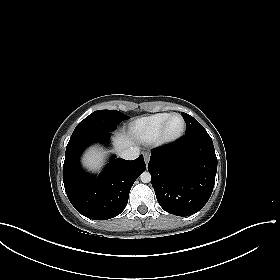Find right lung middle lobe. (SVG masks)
<instances>
[{
	"instance_id": "obj_1",
	"label": "right lung middle lobe",
	"mask_w": 280,
	"mask_h": 280,
	"mask_svg": "<svg viewBox=\"0 0 280 280\" xmlns=\"http://www.w3.org/2000/svg\"><path fill=\"white\" fill-rule=\"evenodd\" d=\"M127 119H129L127 115L116 110L95 111L77 125L71 138L85 134L111 132Z\"/></svg>"
}]
</instances>
